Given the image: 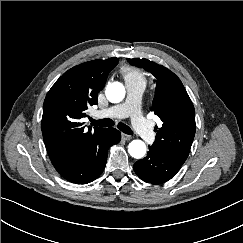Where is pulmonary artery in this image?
<instances>
[{"instance_id":"e3ab8cb5","label":"pulmonary artery","mask_w":243,"mask_h":243,"mask_svg":"<svg viewBox=\"0 0 243 243\" xmlns=\"http://www.w3.org/2000/svg\"><path fill=\"white\" fill-rule=\"evenodd\" d=\"M127 98L125 102L100 110L95 113L98 118L107 117H131V122L136 132L148 143L153 142L155 134L148 121L140 111L141 96L144 91V84L140 82L126 83Z\"/></svg>"}]
</instances>
